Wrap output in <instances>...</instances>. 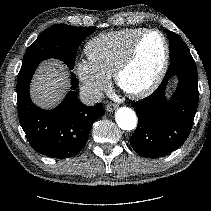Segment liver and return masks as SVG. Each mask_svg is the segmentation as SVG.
Instances as JSON below:
<instances>
[{
    "label": "liver",
    "mask_w": 211,
    "mask_h": 211,
    "mask_svg": "<svg viewBox=\"0 0 211 211\" xmlns=\"http://www.w3.org/2000/svg\"><path fill=\"white\" fill-rule=\"evenodd\" d=\"M69 87L66 67L57 60H47L38 68L31 85V98L41 108H52Z\"/></svg>",
    "instance_id": "6515ba94"
}]
</instances>
